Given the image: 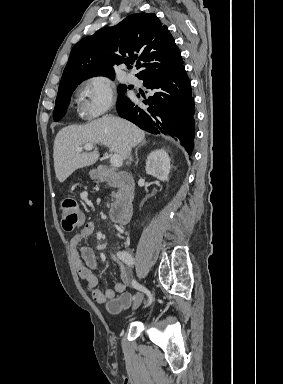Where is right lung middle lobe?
<instances>
[{
	"label": "right lung middle lobe",
	"instance_id": "dd1d6c3e",
	"mask_svg": "<svg viewBox=\"0 0 283 384\" xmlns=\"http://www.w3.org/2000/svg\"><path fill=\"white\" fill-rule=\"evenodd\" d=\"M79 83H68V84H63L59 86L58 89V95L56 98V104H55V109H54V114H53V119L54 121H59L62 119L64 114L66 113L67 106L70 102V97L77 87ZM126 92V86L125 85H120L119 86V98L118 101H121L125 99L124 93Z\"/></svg>",
	"mask_w": 283,
	"mask_h": 384
}]
</instances>
